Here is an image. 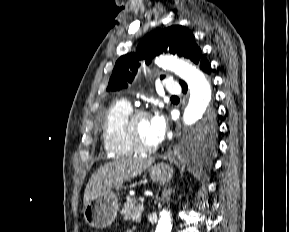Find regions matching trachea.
<instances>
[{
	"label": "trachea",
	"mask_w": 289,
	"mask_h": 232,
	"mask_svg": "<svg viewBox=\"0 0 289 232\" xmlns=\"http://www.w3.org/2000/svg\"><path fill=\"white\" fill-rule=\"evenodd\" d=\"M172 98H178L177 96H172Z\"/></svg>",
	"instance_id": "1"
}]
</instances>
